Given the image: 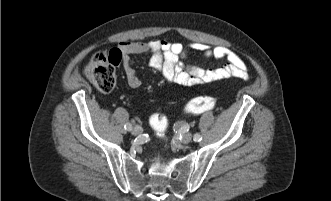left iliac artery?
I'll return each mask as SVG.
<instances>
[{
	"label": "left iliac artery",
	"mask_w": 331,
	"mask_h": 201,
	"mask_svg": "<svg viewBox=\"0 0 331 201\" xmlns=\"http://www.w3.org/2000/svg\"><path fill=\"white\" fill-rule=\"evenodd\" d=\"M182 127H183L184 129H187V128H188V126H187L186 124L182 125ZM201 139H202V137H201V135L198 134V133H196V134L193 136V140L196 141V142L201 141Z\"/></svg>",
	"instance_id": "left-iliac-artery-1"
}]
</instances>
